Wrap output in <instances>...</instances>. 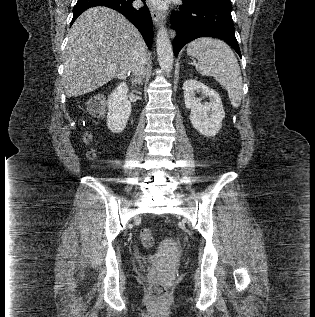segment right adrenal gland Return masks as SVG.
Returning a JSON list of instances; mask_svg holds the SVG:
<instances>
[{
    "label": "right adrenal gland",
    "instance_id": "right-adrenal-gland-1",
    "mask_svg": "<svg viewBox=\"0 0 315 317\" xmlns=\"http://www.w3.org/2000/svg\"><path fill=\"white\" fill-rule=\"evenodd\" d=\"M132 84H133V85H137V84L143 85L142 79H141V78H139V79H132Z\"/></svg>",
    "mask_w": 315,
    "mask_h": 317
}]
</instances>
